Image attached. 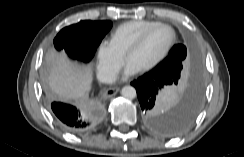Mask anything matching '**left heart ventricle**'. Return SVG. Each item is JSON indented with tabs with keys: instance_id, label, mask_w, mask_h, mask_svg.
Wrapping results in <instances>:
<instances>
[{
	"instance_id": "obj_1",
	"label": "left heart ventricle",
	"mask_w": 244,
	"mask_h": 157,
	"mask_svg": "<svg viewBox=\"0 0 244 157\" xmlns=\"http://www.w3.org/2000/svg\"><path fill=\"white\" fill-rule=\"evenodd\" d=\"M171 37L172 32L169 28H156L146 37L143 44L129 56L128 62L138 69L145 67L162 53Z\"/></svg>"
}]
</instances>
